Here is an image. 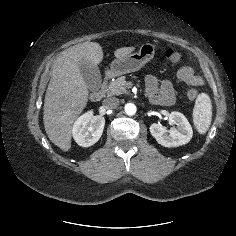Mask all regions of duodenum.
<instances>
[{
  "mask_svg": "<svg viewBox=\"0 0 236 236\" xmlns=\"http://www.w3.org/2000/svg\"><path fill=\"white\" fill-rule=\"evenodd\" d=\"M111 76H112V73H111V72H107V73H106V75H105V77H104V83H103V85H102L99 89H97V90L91 92V94H90V100H91V101H93V102H98V101H100V100L103 98V96H104V94H105V91H106V89H105V84H106V82L109 80V78H110Z\"/></svg>",
  "mask_w": 236,
  "mask_h": 236,
  "instance_id": "410a0bca",
  "label": "duodenum"
}]
</instances>
